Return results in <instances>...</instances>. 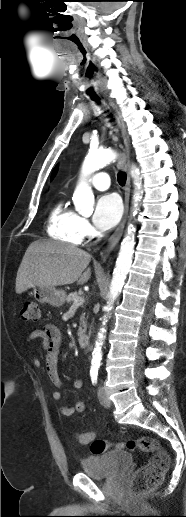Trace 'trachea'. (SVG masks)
I'll return each mask as SVG.
<instances>
[{"label": "trachea", "instance_id": "trachea-1", "mask_svg": "<svg viewBox=\"0 0 186 517\" xmlns=\"http://www.w3.org/2000/svg\"><path fill=\"white\" fill-rule=\"evenodd\" d=\"M93 100H95L96 102H99V98L98 97H92ZM126 174L123 173V172H120L117 176V179H118V183L121 185V186H124L125 183H126Z\"/></svg>", "mask_w": 186, "mask_h": 517}]
</instances>
